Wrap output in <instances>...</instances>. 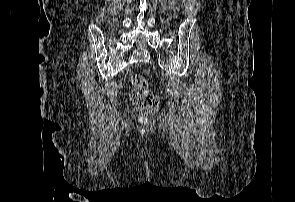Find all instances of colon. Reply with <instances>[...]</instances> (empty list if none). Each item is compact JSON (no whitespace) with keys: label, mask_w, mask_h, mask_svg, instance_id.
Listing matches in <instances>:
<instances>
[{"label":"colon","mask_w":295,"mask_h":202,"mask_svg":"<svg viewBox=\"0 0 295 202\" xmlns=\"http://www.w3.org/2000/svg\"><path fill=\"white\" fill-rule=\"evenodd\" d=\"M133 90L131 100L135 107L141 110L154 109L159 105L157 96L149 93V85L146 78L141 74H133L131 77Z\"/></svg>","instance_id":"5ec220e1"}]
</instances>
